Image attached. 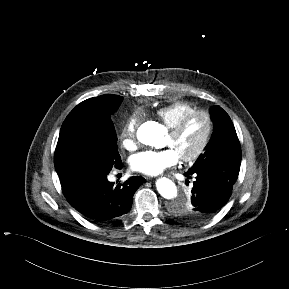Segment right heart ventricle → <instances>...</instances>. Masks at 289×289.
I'll return each instance as SVG.
<instances>
[{
    "instance_id": "obj_1",
    "label": "right heart ventricle",
    "mask_w": 289,
    "mask_h": 289,
    "mask_svg": "<svg viewBox=\"0 0 289 289\" xmlns=\"http://www.w3.org/2000/svg\"><path fill=\"white\" fill-rule=\"evenodd\" d=\"M196 110L193 105L184 101H177L162 106L156 110V116L171 128L182 116Z\"/></svg>"
}]
</instances>
